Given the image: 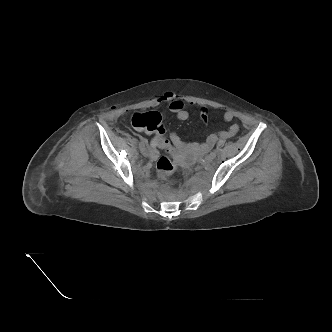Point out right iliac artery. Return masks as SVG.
Masks as SVG:
<instances>
[{"label":"right iliac artery","mask_w":332,"mask_h":332,"mask_svg":"<svg viewBox=\"0 0 332 332\" xmlns=\"http://www.w3.org/2000/svg\"><path fill=\"white\" fill-rule=\"evenodd\" d=\"M140 143H143L145 145V144H147V141L143 138H140Z\"/></svg>","instance_id":"1"}]
</instances>
